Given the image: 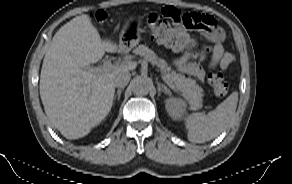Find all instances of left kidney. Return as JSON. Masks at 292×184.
Listing matches in <instances>:
<instances>
[{
	"instance_id": "left-kidney-1",
	"label": "left kidney",
	"mask_w": 292,
	"mask_h": 184,
	"mask_svg": "<svg viewBox=\"0 0 292 184\" xmlns=\"http://www.w3.org/2000/svg\"><path fill=\"white\" fill-rule=\"evenodd\" d=\"M165 108L173 119L178 120L186 111V103L181 98L171 97L166 99Z\"/></svg>"
}]
</instances>
